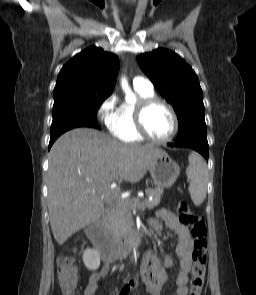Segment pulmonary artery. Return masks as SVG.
I'll list each match as a JSON object with an SVG mask.
<instances>
[{
    "label": "pulmonary artery",
    "mask_w": 256,
    "mask_h": 295,
    "mask_svg": "<svg viewBox=\"0 0 256 295\" xmlns=\"http://www.w3.org/2000/svg\"><path fill=\"white\" fill-rule=\"evenodd\" d=\"M133 86L134 88L143 89L147 91L153 90V84L151 83V81L141 76L134 78Z\"/></svg>",
    "instance_id": "e3ab8cb5"
}]
</instances>
